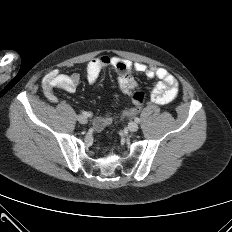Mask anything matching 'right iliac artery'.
<instances>
[{
  "label": "right iliac artery",
  "instance_id": "1",
  "mask_svg": "<svg viewBox=\"0 0 232 232\" xmlns=\"http://www.w3.org/2000/svg\"><path fill=\"white\" fill-rule=\"evenodd\" d=\"M82 115H83V116H85V117H90V116H91V114H90V113L85 112V111H82Z\"/></svg>",
  "mask_w": 232,
  "mask_h": 232
}]
</instances>
